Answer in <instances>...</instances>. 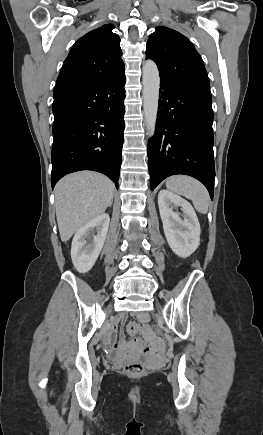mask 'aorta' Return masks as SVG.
<instances>
[{"instance_id":"obj_1","label":"aorta","mask_w":263,"mask_h":435,"mask_svg":"<svg viewBox=\"0 0 263 435\" xmlns=\"http://www.w3.org/2000/svg\"><path fill=\"white\" fill-rule=\"evenodd\" d=\"M143 72V108L146 128L149 135H153L156 128L160 77L157 65L152 60H146Z\"/></svg>"}]
</instances>
